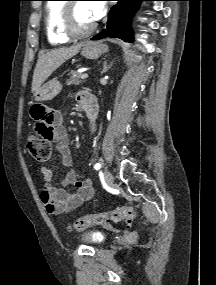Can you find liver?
<instances>
[{
  "mask_svg": "<svg viewBox=\"0 0 216 285\" xmlns=\"http://www.w3.org/2000/svg\"><path fill=\"white\" fill-rule=\"evenodd\" d=\"M83 44L51 50L38 57L32 80V92L35 93L48 77L66 60L75 56Z\"/></svg>",
  "mask_w": 216,
  "mask_h": 285,
  "instance_id": "1",
  "label": "liver"
}]
</instances>
